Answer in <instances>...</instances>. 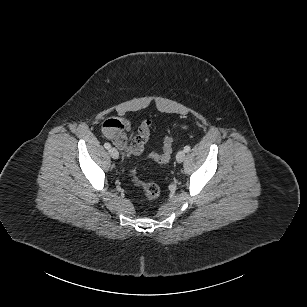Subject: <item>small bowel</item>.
<instances>
[{
	"label": "small bowel",
	"mask_w": 307,
	"mask_h": 307,
	"mask_svg": "<svg viewBox=\"0 0 307 307\" xmlns=\"http://www.w3.org/2000/svg\"><path fill=\"white\" fill-rule=\"evenodd\" d=\"M132 128L133 126L129 119L116 116L104 121L102 133L127 156H139L144 151L145 144L149 139L151 130L154 129V125L149 120L142 122L137 135L129 144L126 134L130 132Z\"/></svg>",
	"instance_id": "obj_1"
}]
</instances>
